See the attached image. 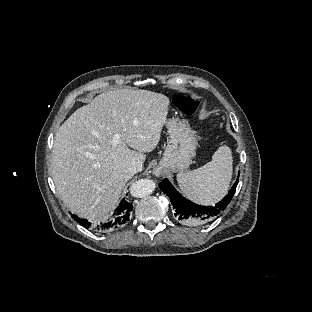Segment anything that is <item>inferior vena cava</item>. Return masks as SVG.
Wrapping results in <instances>:
<instances>
[{
    "instance_id": "1",
    "label": "inferior vena cava",
    "mask_w": 312,
    "mask_h": 312,
    "mask_svg": "<svg viewBox=\"0 0 312 312\" xmlns=\"http://www.w3.org/2000/svg\"><path fill=\"white\" fill-rule=\"evenodd\" d=\"M129 172L134 175L137 172L142 171V163L140 161H135L130 164Z\"/></svg>"
}]
</instances>
